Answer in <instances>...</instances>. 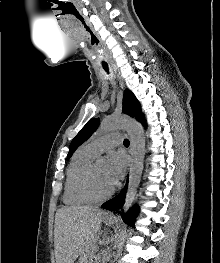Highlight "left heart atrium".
<instances>
[{
    "mask_svg": "<svg viewBox=\"0 0 220 263\" xmlns=\"http://www.w3.org/2000/svg\"><path fill=\"white\" fill-rule=\"evenodd\" d=\"M126 166V160L121 152H112L108 156L105 165V173L109 181L115 185L123 176Z\"/></svg>",
    "mask_w": 220,
    "mask_h": 263,
    "instance_id": "left-heart-atrium-1",
    "label": "left heart atrium"
}]
</instances>
